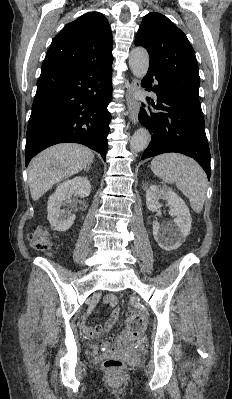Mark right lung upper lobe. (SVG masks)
Here are the masks:
<instances>
[{"instance_id":"1","label":"right lung upper lobe","mask_w":232,"mask_h":399,"mask_svg":"<svg viewBox=\"0 0 232 399\" xmlns=\"http://www.w3.org/2000/svg\"><path fill=\"white\" fill-rule=\"evenodd\" d=\"M110 25L99 12H89L67 24L53 39L42 64L75 68L113 59Z\"/></svg>"}]
</instances>
